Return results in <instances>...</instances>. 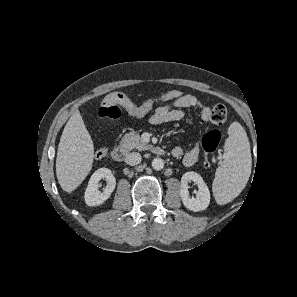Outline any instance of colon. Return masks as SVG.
Listing matches in <instances>:
<instances>
[{"instance_id": "1", "label": "colon", "mask_w": 297, "mask_h": 297, "mask_svg": "<svg viewBox=\"0 0 297 297\" xmlns=\"http://www.w3.org/2000/svg\"><path fill=\"white\" fill-rule=\"evenodd\" d=\"M183 92L180 90H169L162 93L160 96L146 100L142 105L145 110L152 109L158 102L174 101L181 96ZM117 104H124L130 107L134 102L127 95L116 92L105 99L98 107L97 113L102 118L116 120L121 116V110ZM228 112L224 105H215L210 112L209 121L215 127H221L227 122ZM221 140V134L218 130H212L203 137V148L205 151V164L210 166L211 158L217 150ZM107 155V149L101 147L96 150L95 156L98 159L104 158Z\"/></svg>"}]
</instances>
